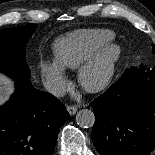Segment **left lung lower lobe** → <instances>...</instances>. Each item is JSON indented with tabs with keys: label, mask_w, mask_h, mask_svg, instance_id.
<instances>
[{
	"label": "left lung lower lobe",
	"mask_w": 155,
	"mask_h": 155,
	"mask_svg": "<svg viewBox=\"0 0 155 155\" xmlns=\"http://www.w3.org/2000/svg\"><path fill=\"white\" fill-rule=\"evenodd\" d=\"M92 140L101 155H148L155 147V67L127 69L91 102Z\"/></svg>",
	"instance_id": "1"
}]
</instances>
